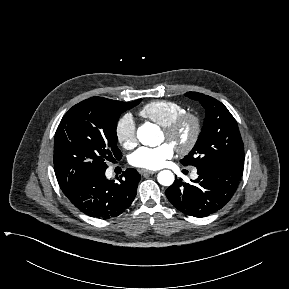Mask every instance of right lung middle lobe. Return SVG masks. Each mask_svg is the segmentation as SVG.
I'll list each match as a JSON object with an SVG mask.
<instances>
[{"label":"right lung middle lobe","mask_w":289,"mask_h":289,"mask_svg":"<svg viewBox=\"0 0 289 289\" xmlns=\"http://www.w3.org/2000/svg\"><path fill=\"white\" fill-rule=\"evenodd\" d=\"M141 100L106 105L87 99L64 115L54 138V170L62 191L105 172V161L113 156L121 158L118 119Z\"/></svg>","instance_id":"1"}]
</instances>
